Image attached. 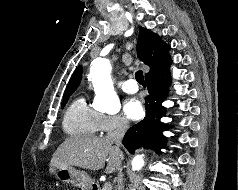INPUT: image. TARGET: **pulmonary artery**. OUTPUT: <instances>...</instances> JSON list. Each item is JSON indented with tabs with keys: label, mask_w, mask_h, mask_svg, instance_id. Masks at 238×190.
<instances>
[{
	"label": "pulmonary artery",
	"mask_w": 238,
	"mask_h": 190,
	"mask_svg": "<svg viewBox=\"0 0 238 190\" xmlns=\"http://www.w3.org/2000/svg\"><path fill=\"white\" fill-rule=\"evenodd\" d=\"M121 89L126 93L133 94L138 91V86L133 79H128L121 84Z\"/></svg>",
	"instance_id": "1"
}]
</instances>
